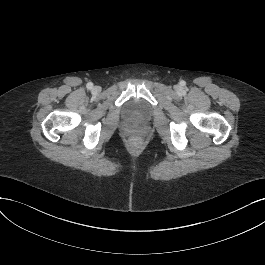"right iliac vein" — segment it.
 Returning a JSON list of instances; mask_svg holds the SVG:
<instances>
[{"instance_id": "right-iliac-vein-1", "label": "right iliac vein", "mask_w": 265, "mask_h": 265, "mask_svg": "<svg viewBox=\"0 0 265 265\" xmlns=\"http://www.w3.org/2000/svg\"><path fill=\"white\" fill-rule=\"evenodd\" d=\"M92 91H93V93H98L99 92V87L95 86Z\"/></svg>"}]
</instances>
